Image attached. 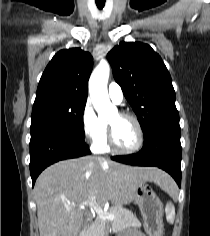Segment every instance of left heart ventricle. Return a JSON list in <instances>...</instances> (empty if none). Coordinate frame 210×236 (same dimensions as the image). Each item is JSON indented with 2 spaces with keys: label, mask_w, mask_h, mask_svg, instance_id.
<instances>
[{
  "label": "left heart ventricle",
  "mask_w": 210,
  "mask_h": 236,
  "mask_svg": "<svg viewBox=\"0 0 210 236\" xmlns=\"http://www.w3.org/2000/svg\"><path fill=\"white\" fill-rule=\"evenodd\" d=\"M108 122L113 129L115 143L122 149L134 147L138 140V133L135 123L128 118L114 114Z\"/></svg>",
  "instance_id": "1"
}]
</instances>
